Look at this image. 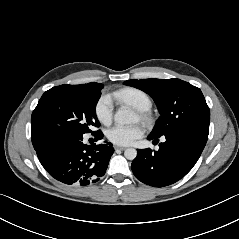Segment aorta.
<instances>
[{
    "mask_svg": "<svg viewBox=\"0 0 239 239\" xmlns=\"http://www.w3.org/2000/svg\"><path fill=\"white\" fill-rule=\"evenodd\" d=\"M115 121L121 125L135 123L137 120L136 114L128 107H120L114 115ZM124 156L128 160H134L137 156V151L134 148H128L124 152Z\"/></svg>",
    "mask_w": 239,
    "mask_h": 239,
    "instance_id": "obj_1",
    "label": "aorta"
}]
</instances>
